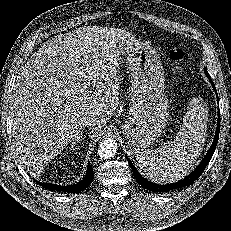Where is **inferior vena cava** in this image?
Returning <instances> with one entry per match:
<instances>
[{
	"label": "inferior vena cava",
	"instance_id": "1",
	"mask_svg": "<svg viewBox=\"0 0 231 231\" xmlns=\"http://www.w3.org/2000/svg\"><path fill=\"white\" fill-rule=\"evenodd\" d=\"M97 120L93 117H88L83 120V127H92L96 124Z\"/></svg>",
	"mask_w": 231,
	"mask_h": 231
}]
</instances>
